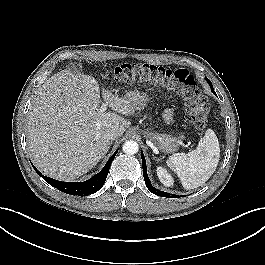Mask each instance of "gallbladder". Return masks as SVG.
Masks as SVG:
<instances>
[{
    "label": "gallbladder",
    "instance_id": "gallbladder-1",
    "mask_svg": "<svg viewBox=\"0 0 265 265\" xmlns=\"http://www.w3.org/2000/svg\"><path fill=\"white\" fill-rule=\"evenodd\" d=\"M72 70H73V71H80V68H78V67H74V68H72Z\"/></svg>",
    "mask_w": 265,
    "mask_h": 265
}]
</instances>
